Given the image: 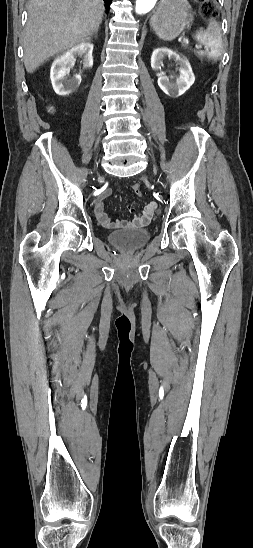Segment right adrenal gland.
Listing matches in <instances>:
<instances>
[{
  "mask_svg": "<svg viewBox=\"0 0 253 548\" xmlns=\"http://www.w3.org/2000/svg\"><path fill=\"white\" fill-rule=\"evenodd\" d=\"M97 34H98V31H96L91 37L94 36V37L96 38V37H97Z\"/></svg>",
  "mask_w": 253,
  "mask_h": 548,
  "instance_id": "1",
  "label": "right adrenal gland"
}]
</instances>
